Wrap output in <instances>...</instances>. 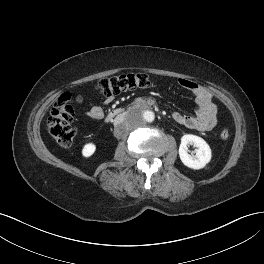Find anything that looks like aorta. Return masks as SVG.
I'll return each instance as SVG.
<instances>
[{
	"mask_svg": "<svg viewBox=\"0 0 264 264\" xmlns=\"http://www.w3.org/2000/svg\"><path fill=\"white\" fill-rule=\"evenodd\" d=\"M143 121L145 122H153L155 119V115L152 111L149 110H145L143 112L140 113Z\"/></svg>",
	"mask_w": 264,
	"mask_h": 264,
	"instance_id": "obj_1",
	"label": "aorta"
}]
</instances>
